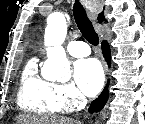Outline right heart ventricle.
<instances>
[{
    "mask_svg": "<svg viewBox=\"0 0 145 124\" xmlns=\"http://www.w3.org/2000/svg\"><path fill=\"white\" fill-rule=\"evenodd\" d=\"M56 84L42 77L37 59H31L20 77L17 101L21 109L38 115H54L60 112L55 101Z\"/></svg>",
    "mask_w": 145,
    "mask_h": 124,
    "instance_id": "1",
    "label": "right heart ventricle"
}]
</instances>
